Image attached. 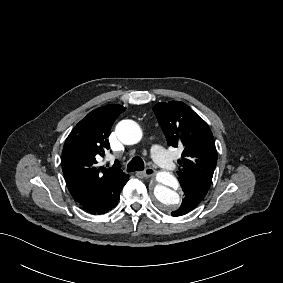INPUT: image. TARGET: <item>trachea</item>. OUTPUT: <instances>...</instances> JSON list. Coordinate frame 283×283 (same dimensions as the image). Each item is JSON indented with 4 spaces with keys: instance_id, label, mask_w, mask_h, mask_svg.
Segmentation results:
<instances>
[{
    "instance_id": "trachea-1",
    "label": "trachea",
    "mask_w": 283,
    "mask_h": 283,
    "mask_svg": "<svg viewBox=\"0 0 283 283\" xmlns=\"http://www.w3.org/2000/svg\"><path fill=\"white\" fill-rule=\"evenodd\" d=\"M144 170V161L141 157L135 156L127 165V172Z\"/></svg>"
}]
</instances>
